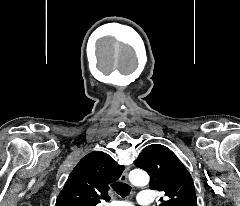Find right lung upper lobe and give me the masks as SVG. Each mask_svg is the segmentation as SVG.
<instances>
[{
	"label": "right lung upper lobe",
	"mask_w": 240,
	"mask_h": 206,
	"mask_svg": "<svg viewBox=\"0 0 240 206\" xmlns=\"http://www.w3.org/2000/svg\"><path fill=\"white\" fill-rule=\"evenodd\" d=\"M124 169L104 152L87 154L69 175L55 206H96L101 200H109V185Z\"/></svg>",
	"instance_id": "right-lung-upper-lobe-1"
}]
</instances>
